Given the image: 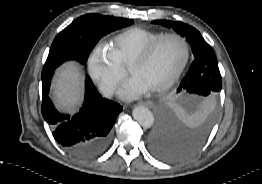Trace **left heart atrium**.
<instances>
[{
	"mask_svg": "<svg viewBox=\"0 0 262 184\" xmlns=\"http://www.w3.org/2000/svg\"><path fill=\"white\" fill-rule=\"evenodd\" d=\"M147 90V87L144 86L138 79L132 78L119 91V96L123 99H133L145 93Z\"/></svg>",
	"mask_w": 262,
	"mask_h": 184,
	"instance_id": "obj_1",
	"label": "left heart atrium"
}]
</instances>
